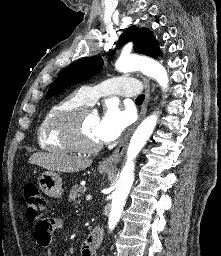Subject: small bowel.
Masks as SVG:
<instances>
[{
    "label": "small bowel",
    "instance_id": "c3829d8e",
    "mask_svg": "<svg viewBox=\"0 0 221 256\" xmlns=\"http://www.w3.org/2000/svg\"><path fill=\"white\" fill-rule=\"evenodd\" d=\"M62 227V221L59 218H48L46 219V226L44 228L38 229L35 227V238L39 246L45 250V256H52L51 251V235L53 232L57 231ZM82 256H95V251H93L84 242L81 250Z\"/></svg>",
    "mask_w": 221,
    "mask_h": 256
}]
</instances>
